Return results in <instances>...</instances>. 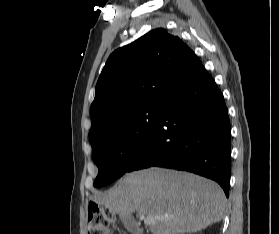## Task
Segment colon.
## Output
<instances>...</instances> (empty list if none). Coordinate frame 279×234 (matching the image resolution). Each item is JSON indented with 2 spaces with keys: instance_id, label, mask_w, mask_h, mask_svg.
<instances>
[{
  "instance_id": "colon-1",
  "label": "colon",
  "mask_w": 279,
  "mask_h": 234,
  "mask_svg": "<svg viewBox=\"0 0 279 234\" xmlns=\"http://www.w3.org/2000/svg\"><path fill=\"white\" fill-rule=\"evenodd\" d=\"M114 215L107 209L91 204L88 210V234H109Z\"/></svg>"
}]
</instances>
